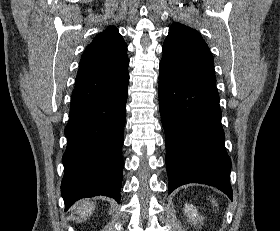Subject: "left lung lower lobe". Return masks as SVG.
Here are the masks:
<instances>
[{
	"instance_id": "1",
	"label": "left lung lower lobe",
	"mask_w": 280,
	"mask_h": 231,
	"mask_svg": "<svg viewBox=\"0 0 280 231\" xmlns=\"http://www.w3.org/2000/svg\"><path fill=\"white\" fill-rule=\"evenodd\" d=\"M159 106L165 130L169 193L188 183L223 191L231 200V161L224 146L216 84L180 81L160 71Z\"/></svg>"
}]
</instances>
